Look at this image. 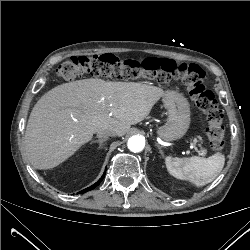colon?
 Here are the masks:
<instances>
[{
	"instance_id": "obj_1",
	"label": "colon",
	"mask_w": 250,
	"mask_h": 250,
	"mask_svg": "<svg viewBox=\"0 0 250 250\" xmlns=\"http://www.w3.org/2000/svg\"><path fill=\"white\" fill-rule=\"evenodd\" d=\"M57 74L64 80H73L82 75L112 79L146 78L159 83L180 80L191 100L206 117V135L211 149L219 151L224 146L226 133L223 112L214 94L206 87L205 73L197 64L156 58L120 59L113 54H102L72 57L58 66Z\"/></svg>"
}]
</instances>
